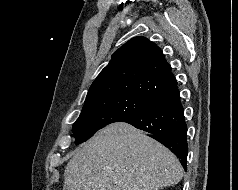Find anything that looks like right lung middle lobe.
I'll list each match as a JSON object with an SVG mask.
<instances>
[{"instance_id":"right-lung-middle-lobe-1","label":"right lung middle lobe","mask_w":238,"mask_h":190,"mask_svg":"<svg viewBox=\"0 0 238 190\" xmlns=\"http://www.w3.org/2000/svg\"><path fill=\"white\" fill-rule=\"evenodd\" d=\"M153 102L132 95H112L85 102L72 129L76 143L90 138L102 127L138 114Z\"/></svg>"}]
</instances>
